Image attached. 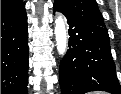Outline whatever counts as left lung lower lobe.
I'll use <instances>...</instances> for the list:
<instances>
[{
    "instance_id": "left-lung-lower-lobe-1",
    "label": "left lung lower lobe",
    "mask_w": 121,
    "mask_h": 94,
    "mask_svg": "<svg viewBox=\"0 0 121 94\" xmlns=\"http://www.w3.org/2000/svg\"><path fill=\"white\" fill-rule=\"evenodd\" d=\"M53 10L63 13L70 27L69 49L59 68L62 94L96 90L121 94L106 27L75 18L65 13L56 2Z\"/></svg>"
}]
</instances>
